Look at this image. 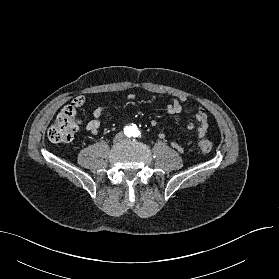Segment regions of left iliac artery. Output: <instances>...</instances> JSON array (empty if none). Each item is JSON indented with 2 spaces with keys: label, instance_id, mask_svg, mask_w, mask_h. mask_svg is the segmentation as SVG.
<instances>
[{
  "label": "left iliac artery",
  "instance_id": "44dca946",
  "mask_svg": "<svg viewBox=\"0 0 279 279\" xmlns=\"http://www.w3.org/2000/svg\"><path fill=\"white\" fill-rule=\"evenodd\" d=\"M140 131L137 129V128H134L133 129V133H132V135H133V137H138V136H140Z\"/></svg>",
  "mask_w": 279,
  "mask_h": 279
}]
</instances>
